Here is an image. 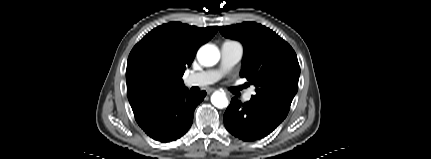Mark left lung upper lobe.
Returning a JSON list of instances; mask_svg holds the SVG:
<instances>
[{"label": "left lung upper lobe", "instance_id": "1", "mask_svg": "<svg viewBox=\"0 0 431 159\" xmlns=\"http://www.w3.org/2000/svg\"><path fill=\"white\" fill-rule=\"evenodd\" d=\"M226 38L244 46L241 77L254 84V99L290 109L298 90L300 67L292 47L269 28L255 22L219 27Z\"/></svg>", "mask_w": 431, "mask_h": 159}]
</instances>
